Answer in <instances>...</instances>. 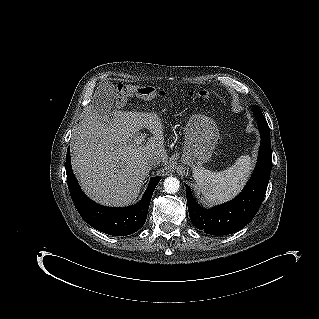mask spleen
<instances>
[{"mask_svg":"<svg viewBox=\"0 0 319 319\" xmlns=\"http://www.w3.org/2000/svg\"><path fill=\"white\" fill-rule=\"evenodd\" d=\"M251 169V158L249 155H242L234 165L220 172L196 167L193 177L205 199L219 204L232 199L241 191Z\"/></svg>","mask_w":319,"mask_h":319,"instance_id":"spleen-1","label":"spleen"}]
</instances>
